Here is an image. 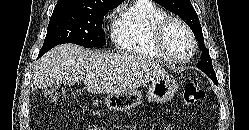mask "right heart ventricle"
Returning a JSON list of instances; mask_svg holds the SVG:
<instances>
[{"mask_svg": "<svg viewBox=\"0 0 249 130\" xmlns=\"http://www.w3.org/2000/svg\"><path fill=\"white\" fill-rule=\"evenodd\" d=\"M167 17V12L153 1L134 0L113 23L111 37L115 47L134 56L165 61L155 46L154 32Z\"/></svg>", "mask_w": 249, "mask_h": 130, "instance_id": "obj_1", "label": "right heart ventricle"}]
</instances>
